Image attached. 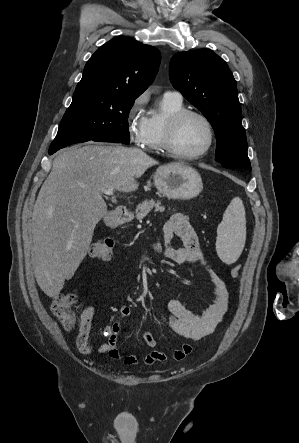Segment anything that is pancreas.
<instances>
[{"label":"pancreas","instance_id":"pancreas-1","mask_svg":"<svg viewBox=\"0 0 299 443\" xmlns=\"http://www.w3.org/2000/svg\"><path fill=\"white\" fill-rule=\"evenodd\" d=\"M153 208H155L156 211L160 212H163L165 210V208L161 206V203L159 201L155 202L154 200H145L137 206L135 210L136 218L138 220L143 219Z\"/></svg>","mask_w":299,"mask_h":443}]
</instances>
